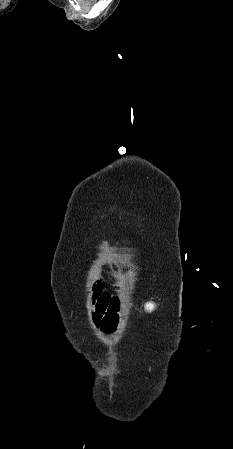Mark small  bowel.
<instances>
[{"mask_svg":"<svg viewBox=\"0 0 233 449\" xmlns=\"http://www.w3.org/2000/svg\"><path fill=\"white\" fill-rule=\"evenodd\" d=\"M95 301H96V298H94V303H95ZM94 319V318H93ZM96 324V323H95ZM118 324L119 323H116V325H115V327L114 328H101L104 332H106V333H112V332H114L116 329H117V327H118Z\"/></svg>","mask_w":233,"mask_h":449,"instance_id":"small-bowel-1","label":"small bowel"}]
</instances>
